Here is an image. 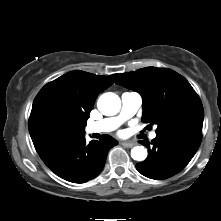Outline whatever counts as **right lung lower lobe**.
Listing matches in <instances>:
<instances>
[{
    "label": "right lung lower lobe",
    "instance_id": "98d812e1",
    "mask_svg": "<svg viewBox=\"0 0 221 221\" xmlns=\"http://www.w3.org/2000/svg\"><path fill=\"white\" fill-rule=\"evenodd\" d=\"M117 143L108 135L86 143L84 132L43 142L35 149L56 175L69 182L84 183L102 171L108 151Z\"/></svg>",
    "mask_w": 221,
    "mask_h": 221
}]
</instances>
